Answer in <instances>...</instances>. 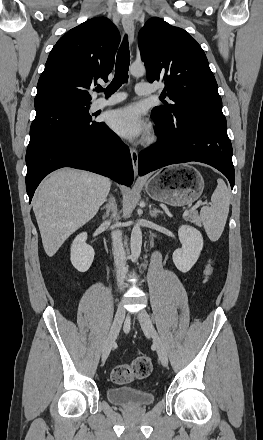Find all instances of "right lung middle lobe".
I'll return each mask as SVG.
<instances>
[{
    "instance_id": "right-lung-middle-lobe-1",
    "label": "right lung middle lobe",
    "mask_w": 263,
    "mask_h": 440,
    "mask_svg": "<svg viewBox=\"0 0 263 440\" xmlns=\"http://www.w3.org/2000/svg\"><path fill=\"white\" fill-rule=\"evenodd\" d=\"M90 103L59 102L36 109L30 128L29 146L35 145L59 132L97 125L88 110Z\"/></svg>"
}]
</instances>
